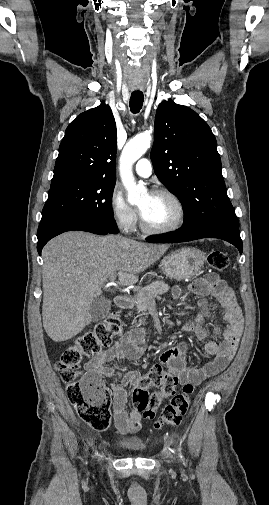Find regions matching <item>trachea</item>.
Returning <instances> with one entry per match:
<instances>
[{
    "instance_id": "obj_1",
    "label": "trachea",
    "mask_w": 269,
    "mask_h": 505,
    "mask_svg": "<svg viewBox=\"0 0 269 505\" xmlns=\"http://www.w3.org/2000/svg\"><path fill=\"white\" fill-rule=\"evenodd\" d=\"M143 101H144V95L141 91L132 92L129 103L131 112L134 114L138 113L142 108Z\"/></svg>"
}]
</instances>
